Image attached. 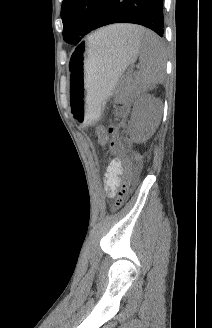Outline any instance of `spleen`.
<instances>
[{"label":"spleen","mask_w":212,"mask_h":328,"mask_svg":"<svg viewBox=\"0 0 212 328\" xmlns=\"http://www.w3.org/2000/svg\"><path fill=\"white\" fill-rule=\"evenodd\" d=\"M134 39L139 43V60L141 67L136 75L140 91L152 90L156 84L163 81L165 70V48L160 38L152 31L137 27ZM92 43H98L95 34L89 37Z\"/></svg>","instance_id":"1"}]
</instances>
